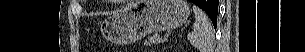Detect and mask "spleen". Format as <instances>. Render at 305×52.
Returning <instances> with one entry per match:
<instances>
[{
	"mask_svg": "<svg viewBox=\"0 0 305 52\" xmlns=\"http://www.w3.org/2000/svg\"><path fill=\"white\" fill-rule=\"evenodd\" d=\"M195 22L193 31L188 34V40L200 52H213L214 38L212 26L207 15L196 5H193Z\"/></svg>",
	"mask_w": 305,
	"mask_h": 52,
	"instance_id": "spleen-1",
	"label": "spleen"
}]
</instances>
